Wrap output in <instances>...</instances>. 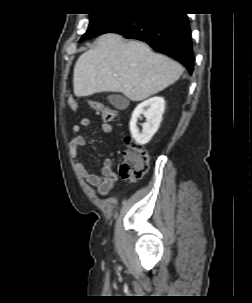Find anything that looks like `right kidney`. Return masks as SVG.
Returning a JSON list of instances; mask_svg holds the SVG:
<instances>
[{"label": "right kidney", "instance_id": "ca27d5eb", "mask_svg": "<svg viewBox=\"0 0 252 303\" xmlns=\"http://www.w3.org/2000/svg\"><path fill=\"white\" fill-rule=\"evenodd\" d=\"M165 110V100L163 97H152L140 103L132 113L129 123L130 132L134 140L140 144H147L157 132L162 121ZM143 115L146 122L142 124V132L137 127L138 118Z\"/></svg>", "mask_w": 252, "mask_h": 303}]
</instances>
